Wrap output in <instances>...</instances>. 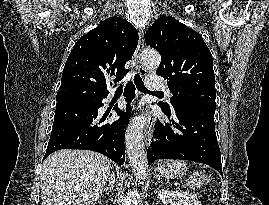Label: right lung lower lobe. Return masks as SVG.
<instances>
[{
  "label": "right lung lower lobe",
  "mask_w": 269,
  "mask_h": 205,
  "mask_svg": "<svg viewBox=\"0 0 269 205\" xmlns=\"http://www.w3.org/2000/svg\"><path fill=\"white\" fill-rule=\"evenodd\" d=\"M127 101L126 112L115 109L121 117L113 123L101 124L98 109L102 100L88 105L56 108L53 129L43 159L60 149H85L106 155L118 165L125 161L124 137L128 125L131 106L135 97V87L130 82L124 92Z\"/></svg>",
  "instance_id": "1"
}]
</instances>
